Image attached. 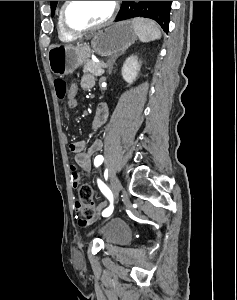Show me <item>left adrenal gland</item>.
<instances>
[{
	"mask_svg": "<svg viewBox=\"0 0 237 300\" xmlns=\"http://www.w3.org/2000/svg\"><path fill=\"white\" fill-rule=\"evenodd\" d=\"M120 55H121V53H120ZM120 55H116V57H112V59H109V61H108V65H109L108 75H111L113 65H114L116 59H118V57H120Z\"/></svg>",
	"mask_w": 237,
	"mask_h": 300,
	"instance_id": "a2214340",
	"label": "left adrenal gland"
}]
</instances>
